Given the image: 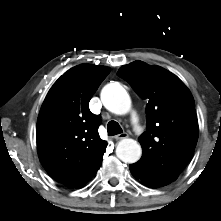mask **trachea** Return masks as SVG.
<instances>
[{
	"instance_id": "trachea-1",
	"label": "trachea",
	"mask_w": 221,
	"mask_h": 221,
	"mask_svg": "<svg viewBox=\"0 0 221 221\" xmlns=\"http://www.w3.org/2000/svg\"><path fill=\"white\" fill-rule=\"evenodd\" d=\"M123 130L121 126L116 121H110L107 125V133L109 136H114L122 133Z\"/></svg>"
}]
</instances>
